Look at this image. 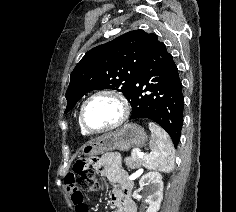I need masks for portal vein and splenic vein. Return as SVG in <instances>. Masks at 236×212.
Masks as SVG:
<instances>
[{
  "instance_id": "obj_1",
  "label": "portal vein and splenic vein",
  "mask_w": 236,
  "mask_h": 212,
  "mask_svg": "<svg viewBox=\"0 0 236 212\" xmlns=\"http://www.w3.org/2000/svg\"><path fill=\"white\" fill-rule=\"evenodd\" d=\"M132 156H137L139 158H142L144 156V153L141 152L139 149H134L133 152H132Z\"/></svg>"
}]
</instances>
